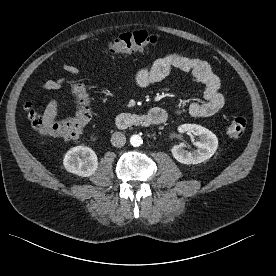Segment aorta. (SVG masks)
<instances>
[{
    "instance_id": "1",
    "label": "aorta",
    "mask_w": 276,
    "mask_h": 276,
    "mask_svg": "<svg viewBox=\"0 0 276 276\" xmlns=\"http://www.w3.org/2000/svg\"><path fill=\"white\" fill-rule=\"evenodd\" d=\"M130 143L133 147H139L142 145L143 140L140 135H132L130 138Z\"/></svg>"
}]
</instances>
